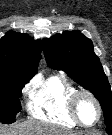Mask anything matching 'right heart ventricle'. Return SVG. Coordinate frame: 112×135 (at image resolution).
<instances>
[{"mask_svg": "<svg viewBox=\"0 0 112 135\" xmlns=\"http://www.w3.org/2000/svg\"><path fill=\"white\" fill-rule=\"evenodd\" d=\"M74 90L75 87L65 77L50 76L33 89L27 104L29 114L60 126L77 127L68 107V98Z\"/></svg>", "mask_w": 112, "mask_h": 135, "instance_id": "1", "label": "right heart ventricle"}]
</instances>
